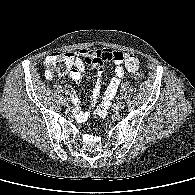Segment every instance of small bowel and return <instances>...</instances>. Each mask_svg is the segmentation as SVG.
Returning <instances> with one entry per match:
<instances>
[{
    "label": "small bowel",
    "instance_id": "obj_1",
    "mask_svg": "<svg viewBox=\"0 0 195 195\" xmlns=\"http://www.w3.org/2000/svg\"><path fill=\"white\" fill-rule=\"evenodd\" d=\"M65 54L69 57L68 76L75 83L82 81L86 72L85 64L88 65L89 70L96 71L99 76H102L105 71L104 62H113L115 64L113 75L102 100L98 103L102 84L99 78L93 89L89 109L76 111V116L81 121L86 120L91 114L106 117L124 74L126 72L135 73L140 64L139 59L133 54L115 52L109 49H81L78 52H68Z\"/></svg>",
    "mask_w": 195,
    "mask_h": 195
}]
</instances>
